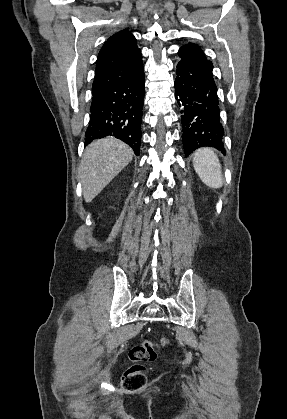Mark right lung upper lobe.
I'll use <instances>...</instances> for the list:
<instances>
[{
	"mask_svg": "<svg viewBox=\"0 0 287 419\" xmlns=\"http://www.w3.org/2000/svg\"><path fill=\"white\" fill-rule=\"evenodd\" d=\"M142 65V55L135 37L127 30L115 33L99 52L92 91L128 77Z\"/></svg>",
	"mask_w": 287,
	"mask_h": 419,
	"instance_id": "right-lung-upper-lobe-1",
	"label": "right lung upper lobe"
}]
</instances>
